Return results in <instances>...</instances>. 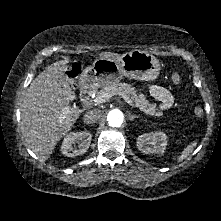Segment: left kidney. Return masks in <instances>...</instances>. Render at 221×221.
Instances as JSON below:
<instances>
[{"mask_svg":"<svg viewBox=\"0 0 221 221\" xmlns=\"http://www.w3.org/2000/svg\"><path fill=\"white\" fill-rule=\"evenodd\" d=\"M167 146V135L162 131L145 133L138 137L137 147L145 154H163Z\"/></svg>","mask_w":221,"mask_h":221,"instance_id":"left-kidney-1","label":"left kidney"}]
</instances>
